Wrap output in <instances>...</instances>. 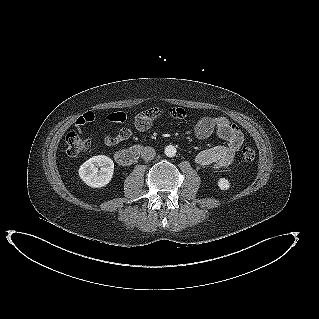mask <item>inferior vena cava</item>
<instances>
[{"instance_id":"obj_1","label":"inferior vena cava","mask_w":319,"mask_h":319,"mask_svg":"<svg viewBox=\"0 0 319 319\" xmlns=\"http://www.w3.org/2000/svg\"><path fill=\"white\" fill-rule=\"evenodd\" d=\"M155 155V149L152 147H144L141 151V157L146 161L152 160L155 157Z\"/></svg>"}]
</instances>
